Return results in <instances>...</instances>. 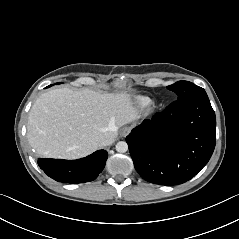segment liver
<instances>
[{"mask_svg":"<svg viewBox=\"0 0 239 239\" xmlns=\"http://www.w3.org/2000/svg\"><path fill=\"white\" fill-rule=\"evenodd\" d=\"M139 117L125 92L56 88L39 96L31 107L27 138L43 157L77 159L99 149L101 137L115 139L121 126Z\"/></svg>","mask_w":239,"mask_h":239,"instance_id":"liver-1","label":"liver"}]
</instances>
